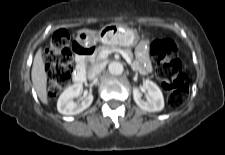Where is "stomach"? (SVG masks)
Returning a JSON list of instances; mask_svg holds the SVG:
<instances>
[{"mask_svg":"<svg viewBox=\"0 0 225 155\" xmlns=\"http://www.w3.org/2000/svg\"><path fill=\"white\" fill-rule=\"evenodd\" d=\"M98 40L105 45H119V46H133L138 41L137 34L122 25L110 24L103 27L97 35H87L86 33H81L79 35V40Z\"/></svg>","mask_w":225,"mask_h":155,"instance_id":"stomach-1","label":"stomach"}]
</instances>
